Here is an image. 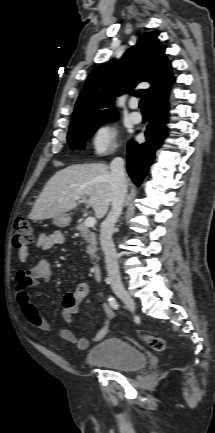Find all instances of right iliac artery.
<instances>
[{
    "label": "right iliac artery",
    "instance_id": "1",
    "mask_svg": "<svg viewBox=\"0 0 215 433\" xmlns=\"http://www.w3.org/2000/svg\"><path fill=\"white\" fill-rule=\"evenodd\" d=\"M108 301H109V304L111 305V307L113 309H118L119 305H118V303H117V301L115 300L114 297L109 296Z\"/></svg>",
    "mask_w": 215,
    "mask_h": 433
}]
</instances>
